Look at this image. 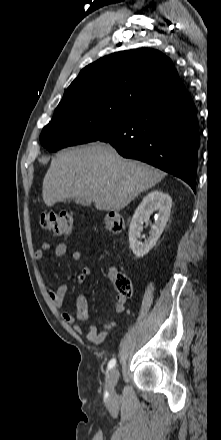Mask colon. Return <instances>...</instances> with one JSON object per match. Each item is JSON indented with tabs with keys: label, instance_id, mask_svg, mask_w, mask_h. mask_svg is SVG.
<instances>
[{
	"label": "colon",
	"instance_id": "5ec220e1",
	"mask_svg": "<svg viewBox=\"0 0 221 440\" xmlns=\"http://www.w3.org/2000/svg\"><path fill=\"white\" fill-rule=\"evenodd\" d=\"M75 215L71 209L57 211H45L40 216V224L43 229L56 233L70 235L74 231ZM104 228L112 234H120L124 231L125 223L121 215L116 212H107L104 216ZM113 283L117 294L124 298L132 296L133 288L131 279L122 273L113 275Z\"/></svg>",
	"mask_w": 221,
	"mask_h": 440
}]
</instances>
